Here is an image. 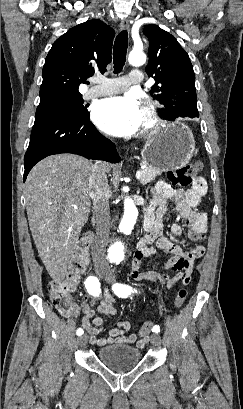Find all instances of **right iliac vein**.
Segmentation results:
<instances>
[{
  "label": "right iliac vein",
  "instance_id": "right-iliac-vein-1",
  "mask_svg": "<svg viewBox=\"0 0 243 409\" xmlns=\"http://www.w3.org/2000/svg\"><path fill=\"white\" fill-rule=\"evenodd\" d=\"M99 276L104 278L106 276V274L103 273V272H100ZM87 341H88V335L87 334H83L82 336H80L78 338V344H79L80 347H84L87 344Z\"/></svg>",
  "mask_w": 243,
  "mask_h": 409
}]
</instances>
